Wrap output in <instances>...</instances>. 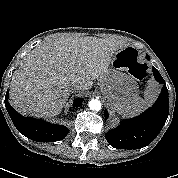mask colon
Returning <instances> with one entry per match:
<instances>
[{
	"label": "colon",
	"instance_id": "5ec220e1",
	"mask_svg": "<svg viewBox=\"0 0 178 178\" xmlns=\"http://www.w3.org/2000/svg\"><path fill=\"white\" fill-rule=\"evenodd\" d=\"M132 74L134 75V77H136L137 79H143L145 76H147V67L145 64H138L135 65L132 69H131Z\"/></svg>",
	"mask_w": 178,
	"mask_h": 178
}]
</instances>
